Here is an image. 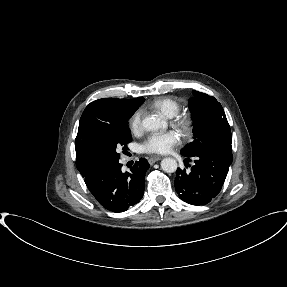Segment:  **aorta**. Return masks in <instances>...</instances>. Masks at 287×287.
Segmentation results:
<instances>
[{"mask_svg": "<svg viewBox=\"0 0 287 287\" xmlns=\"http://www.w3.org/2000/svg\"><path fill=\"white\" fill-rule=\"evenodd\" d=\"M163 126V121L156 116L145 117L142 121V127L146 131H155ZM177 161L174 158H164L161 161V169L166 173H173L177 170Z\"/></svg>", "mask_w": 287, "mask_h": 287, "instance_id": "aorta-1", "label": "aorta"}]
</instances>
